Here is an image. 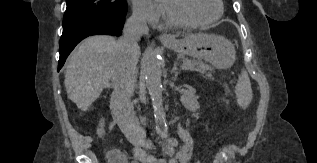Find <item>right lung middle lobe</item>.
<instances>
[{
	"label": "right lung middle lobe",
	"instance_id": "right-lung-middle-lobe-1",
	"mask_svg": "<svg viewBox=\"0 0 317 163\" xmlns=\"http://www.w3.org/2000/svg\"><path fill=\"white\" fill-rule=\"evenodd\" d=\"M63 29L101 15H126V0H66Z\"/></svg>",
	"mask_w": 317,
	"mask_h": 163
}]
</instances>
